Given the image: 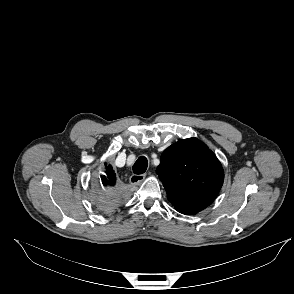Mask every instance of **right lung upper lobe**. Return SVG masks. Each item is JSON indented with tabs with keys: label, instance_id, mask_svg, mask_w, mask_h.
Wrapping results in <instances>:
<instances>
[{
	"label": "right lung upper lobe",
	"instance_id": "right-lung-upper-lobe-1",
	"mask_svg": "<svg viewBox=\"0 0 294 294\" xmlns=\"http://www.w3.org/2000/svg\"><path fill=\"white\" fill-rule=\"evenodd\" d=\"M106 165L105 175L101 176V181L104 186H113L116 182V176L111 165Z\"/></svg>",
	"mask_w": 294,
	"mask_h": 294
}]
</instances>
